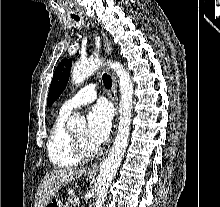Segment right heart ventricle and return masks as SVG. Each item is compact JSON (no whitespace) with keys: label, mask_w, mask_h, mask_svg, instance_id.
<instances>
[{"label":"right heart ventricle","mask_w":220,"mask_h":207,"mask_svg":"<svg viewBox=\"0 0 220 207\" xmlns=\"http://www.w3.org/2000/svg\"><path fill=\"white\" fill-rule=\"evenodd\" d=\"M69 114L60 112L47 142V154L51 164L57 168H69L79 163L70 146V132L65 122Z\"/></svg>","instance_id":"e07e8e85"}]
</instances>
